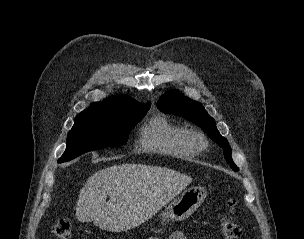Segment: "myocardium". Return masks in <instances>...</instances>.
<instances>
[{
    "label": "myocardium",
    "instance_id": "f54148a6",
    "mask_svg": "<svg viewBox=\"0 0 304 239\" xmlns=\"http://www.w3.org/2000/svg\"><path fill=\"white\" fill-rule=\"evenodd\" d=\"M186 141L196 152L202 151L207 147V139L204 134L199 131H188Z\"/></svg>",
    "mask_w": 304,
    "mask_h": 239
}]
</instances>
